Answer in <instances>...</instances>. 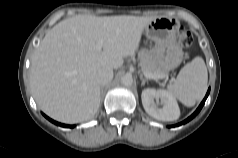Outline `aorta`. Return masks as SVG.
I'll return each instance as SVG.
<instances>
[{
  "instance_id": "762f6f07",
  "label": "aorta",
  "mask_w": 238,
  "mask_h": 158,
  "mask_svg": "<svg viewBox=\"0 0 238 158\" xmlns=\"http://www.w3.org/2000/svg\"><path fill=\"white\" fill-rule=\"evenodd\" d=\"M121 83L125 86H131L133 83V78L131 75L126 74L121 77Z\"/></svg>"
}]
</instances>
